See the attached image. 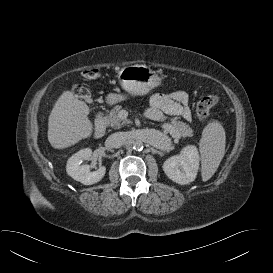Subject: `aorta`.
Instances as JSON below:
<instances>
[{
    "label": "aorta",
    "mask_w": 273,
    "mask_h": 273,
    "mask_svg": "<svg viewBox=\"0 0 273 273\" xmlns=\"http://www.w3.org/2000/svg\"><path fill=\"white\" fill-rule=\"evenodd\" d=\"M143 142L141 140H136L133 142V149L136 151H141L143 149Z\"/></svg>",
    "instance_id": "762f6f07"
}]
</instances>
